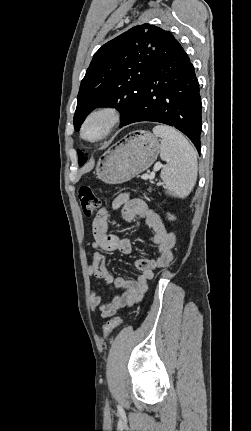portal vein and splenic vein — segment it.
Instances as JSON below:
<instances>
[{
    "instance_id": "1",
    "label": "portal vein and splenic vein",
    "mask_w": 251,
    "mask_h": 431,
    "mask_svg": "<svg viewBox=\"0 0 251 431\" xmlns=\"http://www.w3.org/2000/svg\"><path fill=\"white\" fill-rule=\"evenodd\" d=\"M161 167H162V164H161V163L156 164V165L154 166V171H153L152 173H150L149 175H147V174L143 175V177H142V178H143V179H145V180H147V179L152 180V179L155 177V171L159 170Z\"/></svg>"
}]
</instances>
